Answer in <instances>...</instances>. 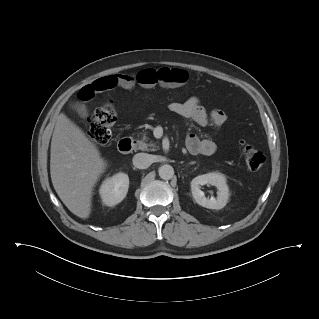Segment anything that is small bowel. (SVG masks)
<instances>
[{
  "label": "small bowel",
  "instance_id": "1",
  "mask_svg": "<svg viewBox=\"0 0 319 319\" xmlns=\"http://www.w3.org/2000/svg\"><path fill=\"white\" fill-rule=\"evenodd\" d=\"M187 81V74L182 69H144L134 79L125 74H115L102 77L86 85L80 90L79 97L81 100L91 99L95 93H101L115 87L132 89L136 82L144 88H152L156 85L163 87H178ZM169 111L190 119L201 126L209 124L221 127L227 119L224 111L214 109L208 111L201 104L198 97H190L183 102H172L168 105ZM187 150L191 154H200L210 156L216 151V145L208 139H200L191 134L185 142Z\"/></svg>",
  "mask_w": 319,
  "mask_h": 319
}]
</instances>
